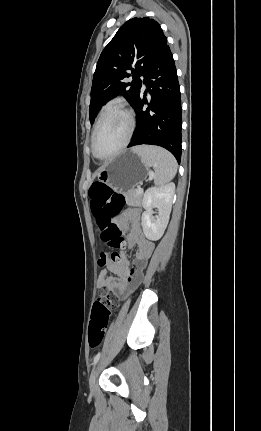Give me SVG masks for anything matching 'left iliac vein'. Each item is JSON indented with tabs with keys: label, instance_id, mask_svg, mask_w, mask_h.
Masks as SVG:
<instances>
[{
	"label": "left iliac vein",
	"instance_id": "obj_1",
	"mask_svg": "<svg viewBox=\"0 0 261 431\" xmlns=\"http://www.w3.org/2000/svg\"><path fill=\"white\" fill-rule=\"evenodd\" d=\"M98 372H99V364L95 365V367L92 370L90 379H89V386H90L91 393L95 392Z\"/></svg>",
	"mask_w": 261,
	"mask_h": 431
}]
</instances>
